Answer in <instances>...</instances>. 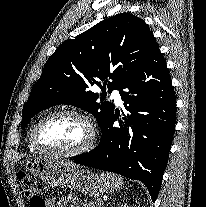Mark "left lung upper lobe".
I'll return each mask as SVG.
<instances>
[{
    "mask_svg": "<svg viewBox=\"0 0 206 207\" xmlns=\"http://www.w3.org/2000/svg\"><path fill=\"white\" fill-rule=\"evenodd\" d=\"M157 45L145 22L130 13L105 19L62 43L47 60L24 105L22 128L38 112L70 104L93 114L103 130L114 105L103 102L102 94L97 102L99 97L90 88L98 85L105 92L107 87L109 93L119 89Z\"/></svg>",
    "mask_w": 206,
    "mask_h": 207,
    "instance_id": "5c2ea615",
    "label": "left lung upper lobe"
}]
</instances>
